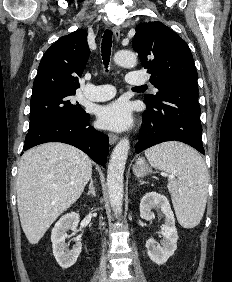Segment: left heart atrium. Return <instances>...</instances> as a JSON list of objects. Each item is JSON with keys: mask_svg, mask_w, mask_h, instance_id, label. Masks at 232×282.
<instances>
[{"mask_svg": "<svg viewBox=\"0 0 232 282\" xmlns=\"http://www.w3.org/2000/svg\"><path fill=\"white\" fill-rule=\"evenodd\" d=\"M98 124L105 129L122 130L131 124V108L124 100H118L99 108Z\"/></svg>", "mask_w": 232, "mask_h": 282, "instance_id": "obj_1", "label": "left heart atrium"}]
</instances>
